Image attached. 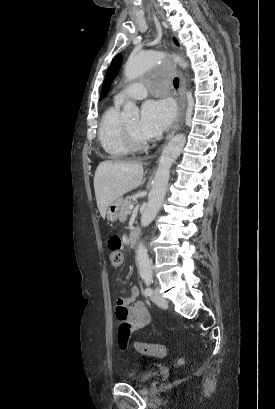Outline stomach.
Returning <instances> with one entry per match:
<instances>
[{
  "instance_id": "stomach-1",
  "label": "stomach",
  "mask_w": 275,
  "mask_h": 409,
  "mask_svg": "<svg viewBox=\"0 0 275 409\" xmlns=\"http://www.w3.org/2000/svg\"><path fill=\"white\" fill-rule=\"evenodd\" d=\"M121 205H123V198L120 196V198H116V200H112L110 202L109 207H107L106 211V217L107 221L109 223H116L118 217H119V211L121 209Z\"/></svg>"
}]
</instances>
